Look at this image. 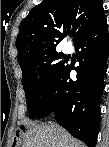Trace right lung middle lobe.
<instances>
[{
	"label": "right lung middle lobe",
	"mask_w": 109,
	"mask_h": 147,
	"mask_svg": "<svg viewBox=\"0 0 109 147\" xmlns=\"http://www.w3.org/2000/svg\"><path fill=\"white\" fill-rule=\"evenodd\" d=\"M61 58V53L53 51L21 68L23 88L31 119L36 118L41 111L52 86L65 67V62L59 61Z\"/></svg>",
	"instance_id": "right-lung-middle-lobe-1"
}]
</instances>
